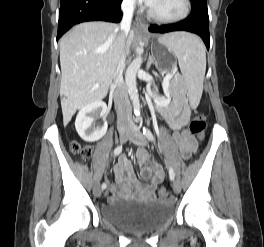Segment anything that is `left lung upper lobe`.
I'll list each match as a JSON object with an SVG mask.
<instances>
[{"label": "left lung upper lobe", "instance_id": "left-lung-upper-lobe-1", "mask_svg": "<svg viewBox=\"0 0 264 247\" xmlns=\"http://www.w3.org/2000/svg\"><path fill=\"white\" fill-rule=\"evenodd\" d=\"M191 2L206 4V0H191Z\"/></svg>", "mask_w": 264, "mask_h": 247}]
</instances>
